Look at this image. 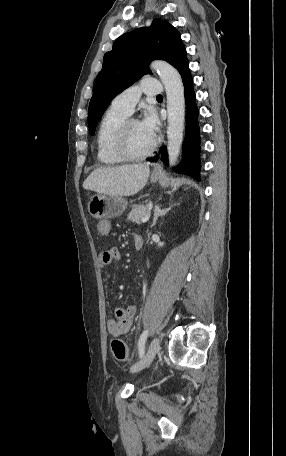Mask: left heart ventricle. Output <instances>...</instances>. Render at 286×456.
<instances>
[{"mask_svg": "<svg viewBox=\"0 0 286 456\" xmlns=\"http://www.w3.org/2000/svg\"><path fill=\"white\" fill-rule=\"evenodd\" d=\"M153 139L142 128L140 122H133L128 129V151L133 155L145 153L152 145Z\"/></svg>", "mask_w": 286, "mask_h": 456, "instance_id": "obj_1", "label": "left heart ventricle"}]
</instances>
